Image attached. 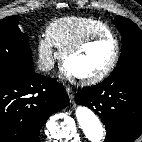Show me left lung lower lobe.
Instances as JSON below:
<instances>
[{
	"label": "left lung lower lobe",
	"mask_w": 142,
	"mask_h": 142,
	"mask_svg": "<svg viewBox=\"0 0 142 142\" xmlns=\"http://www.w3.org/2000/svg\"><path fill=\"white\" fill-rule=\"evenodd\" d=\"M75 101L99 115L106 126L104 142H132L142 133V77L105 79L79 90Z\"/></svg>",
	"instance_id": "1"
}]
</instances>
